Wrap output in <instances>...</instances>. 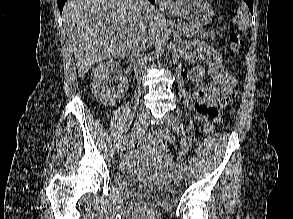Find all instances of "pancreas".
I'll return each mask as SVG.
<instances>
[{
    "mask_svg": "<svg viewBox=\"0 0 293 219\" xmlns=\"http://www.w3.org/2000/svg\"><path fill=\"white\" fill-rule=\"evenodd\" d=\"M177 29L180 32V34L185 35L187 37L195 36L200 39H208L210 37L213 40L215 39V33L213 31L205 32L204 30H200L199 27L191 23L179 22L177 25Z\"/></svg>",
    "mask_w": 293,
    "mask_h": 219,
    "instance_id": "obj_1",
    "label": "pancreas"
}]
</instances>
